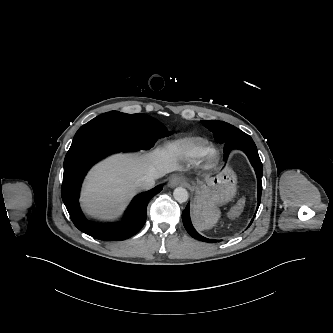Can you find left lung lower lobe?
<instances>
[{
	"label": "left lung lower lobe",
	"mask_w": 333,
	"mask_h": 333,
	"mask_svg": "<svg viewBox=\"0 0 333 333\" xmlns=\"http://www.w3.org/2000/svg\"><path fill=\"white\" fill-rule=\"evenodd\" d=\"M232 149H240L242 150L249 158L252 166L257 175L258 180V207L260 205L261 200V193H262V173H263V166L261 160L259 158L257 148L255 143L253 142L252 138L244 133L243 131L239 130L236 134H234L225 144H224V157L225 159L228 157L229 152ZM257 207V210H258ZM182 220L185 229L193 238L204 241V242H219L220 240L208 239L201 236L193 227L190 216H189V204H187L185 210L182 212ZM253 221V219H252ZM251 221V223H252ZM250 223V225H251ZM249 225V226H250Z\"/></svg>",
	"instance_id": "left-lung-lower-lobe-1"
}]
</instances>
